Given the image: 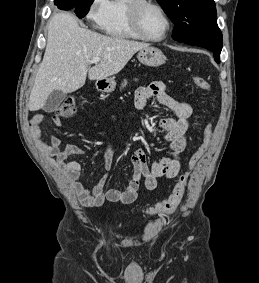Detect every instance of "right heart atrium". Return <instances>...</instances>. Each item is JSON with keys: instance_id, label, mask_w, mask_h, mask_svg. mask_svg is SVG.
<instances>
[{"instance_id": "1", "label": "right heart atrium", "mask_w": 259, "mask_h": 283, "mask_svg": "<svg viewBox=\"0 0 259 283\" xmlns=\"http://www.w3.org/2000/svg\"><path fill=\"white\" fill-rule=\"evenodd\" d=\"M108 0H91L86 13L87 20L94 26L100 27L105 17Z\"/></svg>"}]
</instances>
